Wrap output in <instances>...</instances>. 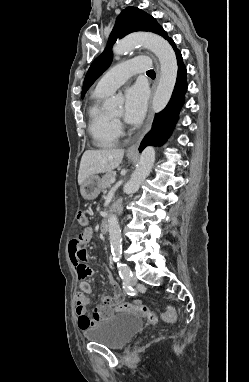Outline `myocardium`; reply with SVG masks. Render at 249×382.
<instances>
[{
  "instance_id": "f54148a6",
  "label": "myocardium",
  "mask_w": 249,
  "mask_h": 382,
  "mask_svg": "<svg viewBox=\"0 0 249 382\" xmlns=\"http://www.w3.org/2000/svg\"><path fill=\"white\" fill-rule=\"evenodd\" d=\"M114 119H115V120H118V118H115V117H114Z\"/></svg>"
}]
</instances>
